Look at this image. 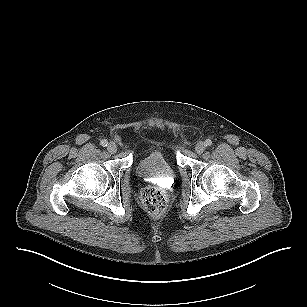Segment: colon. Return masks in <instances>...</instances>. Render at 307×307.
<instances>
[{
	"label": "colon",
	"mask_w": 307,
	"mask_h": 307,
	"mask_svg": "<svg viewBox=\"0 0 307 307\" xmlns=\"http://www.w3.org/2000/svg\"><path fill=\"white\" fill-rule=\"evenodd\" d=\"M141 201L147 212L152 215H161L167 206V197L164 191L155 186L142 190Z\"/></svg>",
	"instance_id": "5ec220e1"
}]
</instances>
